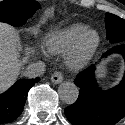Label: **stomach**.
<instances>
[{"label": "stomach", "instance_id": "0dacf381", "mask_svg": "<svg viewBox=\"0 0 125 125\" xmlns=\"http://www.w3.org/2000/svg\"><path fill=\"white\" fill-rule=\"evenodd\" d=\"M106 72H107V67H106V65H105V64H104V65H101V66L99 67V69H98V76L101 77V78H103V77H105Z\"/></svg>", "mask_w": 125, "mask_h": 125}]
</instances>
